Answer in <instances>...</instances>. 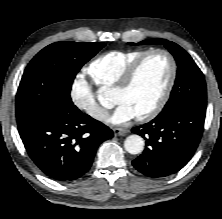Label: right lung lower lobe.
<instances>
[{
  "mask_svg": "<svg viewBox=\"0 0 222 219\" xmlns=\"http://www.w3.org/2000/svg\"><path fill=\"white\" fill-rule=\"evenodd\" d=\"M18 131L35 165L59 182L83 176L91 167L98 146L113 137L107 126L66 101L55 102L18 123Z\"/></svg>",
  "mask_w": 222,
  "mask_h": 219,
  "instance_id": "98d812e1",
  "label": "right lung lower lobe"
}]
</instances>
